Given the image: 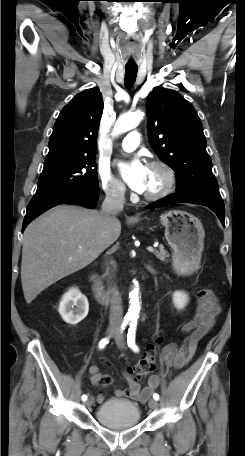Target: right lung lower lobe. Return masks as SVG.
<instances>
[{"instance_id":"98d812e1","label":"right lung lower lobe","mask_w":245,"mask_h":456,"mask_svg":"<svg viewBox=\"0 0 245 456\" xmlns=\"http://www.w3.org/2000/svg\"><path fill=\"white\" fill-rule=\"evenodd\" d=\"M99 189L89 191H69L39 198H33L27 207L22 232L27 225L48 209L60 204L80 205L86 208H93L97 202Z\"/></svg>"}]
</instances>
